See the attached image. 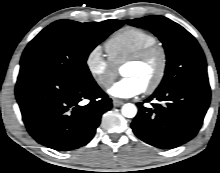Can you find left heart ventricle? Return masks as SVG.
I'll list each match as a JSON object with an SVG mask.
<instances>
[{
    "mask_svg": "<svg viewBox=\"0 0 220 173\" xmlns=\"http://www.w3.org/2000/svg\"><path fill=\"white\" fill-rule=\"evenodd\" d=\"M158 67L159 59L155 56L143 64L124 65L122 75L136 78L145 88L154 80Z\"/></svg>",
    "mask_w": 220,
    "mask_h": 173,
    "instance_id": "obj_1",
    "label": "left heart ventricle"
}]
</instances>
